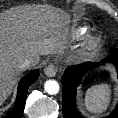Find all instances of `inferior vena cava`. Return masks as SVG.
Returning a JSON list of instances; mask_svg holds the SVG:
<instances>
[{"mask_svg":"<svg viewBox=\"0 0 118 118\" xmlns=\"http://www.w3.org/2000/svg\"><path fill=\"white\" fill-rule=\"evenodd\" d=\"M35 64H36V59L34 57H29V58H26L23 62H21L18 65V67L23 70V69L29 68Z\"/></svg>","mask_w":118,"mask_h":118,"instance_id":"obj_1","label":"inferior vena cava"}]
</instances>
